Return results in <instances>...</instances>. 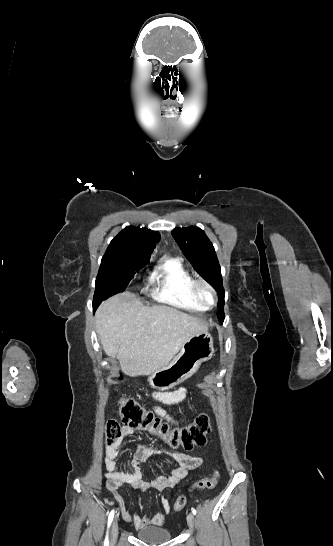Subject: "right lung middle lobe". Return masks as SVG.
<instances>
[{
    "label": "right lung middle lobe",
    "mask_w": 333,
    "mask_h": 546,
    "mask_svg": "<svg viewBox=\"0 0 333 546\" xmlns=\"http://www.w3.org/2000/svg\"><path fill=\"white\" fill-rule=\"evenodd\" d=\"M138 271L129 269L123 261L115 258H102L96 278L93 304L98 306L108 297L123 292Z\"/></svg>",
    "instance_id": "1"
}]
</instances>
